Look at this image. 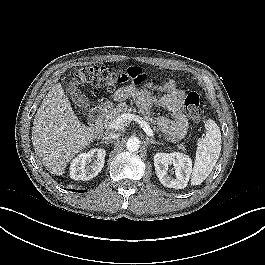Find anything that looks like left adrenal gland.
<instances>
[{
	"label": "left adrenal gland",
	"mask_w": 265,
	"mask_h": 265,
	"mask_svg": "<svg viewBox=\"0 0 265 265\" xmlns=\"http://www.w3.org/2000/svg\"><path fill=\"white\" fill-rule=\"evenodd\" d=\"M146 142H147V144H159V145H163L162 143L157 142V141L152 140V139H149V138H146Z\"/></svg>",
	"instance_id": "a2214340"
}]
</instances>
